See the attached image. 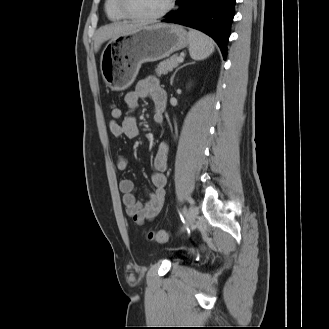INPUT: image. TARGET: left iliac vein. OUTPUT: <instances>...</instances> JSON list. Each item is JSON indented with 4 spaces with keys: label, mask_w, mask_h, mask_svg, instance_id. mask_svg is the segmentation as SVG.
<instances>
[{
    "label": "left iliac vein",
    "mask_w": 329,
    "mask_h": 329,
    "mask_svg": "<svg viewBox=\"0 0 329 329\" xmlns=\"http://www.w3.org/2000/svg\"><path fill=\"white\" fill-rule=\"evenodd\" d=\"M198 212H199V208L197 206L190 207L188 214H187V218H186V226L189 227L192 224H194V222L196 221Z\"/></svg>",
    "instance_id": "left-iliac-vein-1"
}]
</instances>
